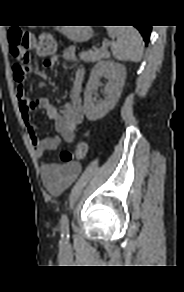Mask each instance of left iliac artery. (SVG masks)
<instances>
[{"label":"left iliac artery","instance_id":"44dca946","mask_svg":"<svg viewBox=\"0 0 184 292\" xmlns=\"http://www.w3.org/2000/svg\"><path fill=\"white\" fill-rule=\"evenodd\" d=\"M61 237L63 241L69 238V220L66 214H63L61 218Z\"/></svg>","mask_w":184,"mask_h":292}]
</instances>
